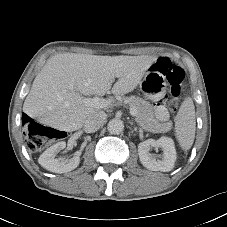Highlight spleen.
<instances>
[{"mask_svg": "<svg viewBox=\"0 0 227 227\" xmlns=\"http://www.w3.org/2000/svg\"><path fill=\"white\" fill-rule=\"evenodd\" d=\"M196 130L195 106L191 97L182 102L175 121V133L183 150H189L194 142Z\"/></svg>", "mask_w": 227, "mask_h": 227, "instance_id": "1", "label": "spleen"}]
</instances>
